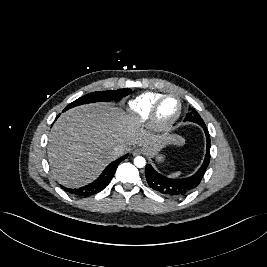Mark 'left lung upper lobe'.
Masks as SVG:
<instances>
[{"label": "left lung upper lobe", "instance_id": "5c2ea615", "mask_svg": "<svg viewBox=\"0 0 267 267\" xmlns=\"http://www.w3.org/2000/svg\"><path fill=\"white\" fill-rule=\"evenodd\" d=\"M184 121L196 122L199 125L204 124L203 120L201 119V117L199 116V114L197 112L188 113L186 115V118L184 119Z\"/></svg>", "mask_w": 267, "mask_h": 267}]
</instances>
